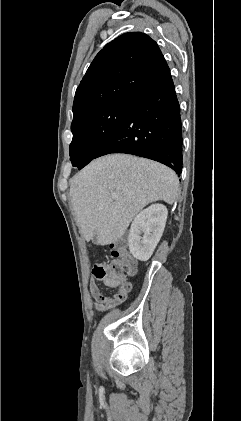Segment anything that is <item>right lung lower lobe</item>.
<instances>
[{"instance_id":"obj_1","label":"right lung lower lobe","mask_w":241,"mask_h":421,"mask_svg":"<svg viewBox=\"0 0 241 421\" xmlns=\"http://www.w3.org/2000/svg\"><path fill=\"white\" fill-rule=\"evenodd\" d=\"M180 105L168 65L129 100L123 121L95 158L110 153L145 157L182 171Z\"/></svg>"}]
</instances>
